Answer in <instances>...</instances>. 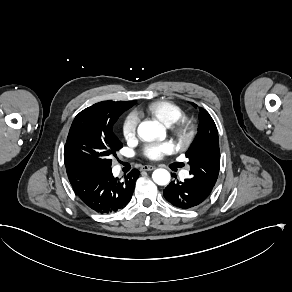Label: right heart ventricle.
Returning a JSON list of instances; mask_svg holds the SVG:
<instances>
[{"label": "right heart ventricle", "instance_id": "right-heart-ventricle-1", "mask_svg": "<svg viewBox=\"0 0 292 292\" xmlns=\"http://www.w3.org/2000/svg\"><path fill=\"white\" fill-rule=\"evenodd\" d=\"M146 112L166 126H172L182 116L181 108L166 100L150 102L146 106Z\"/></svg>", "mask_w": 292, "mask_h": 292}]
</instances>
